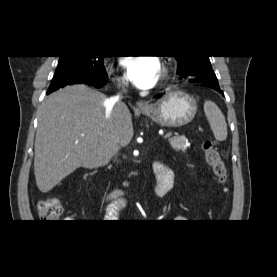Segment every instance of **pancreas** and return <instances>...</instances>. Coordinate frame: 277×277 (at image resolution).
<instances>
[{"label": "pancreas", "instance_id": "cf45deb5", "mask_svg": "<svg viewBox=\"0 0 277 277\" xmlns=\"http://www.w3.org/2000/svg\"><path fill=\"white\" fill-rule=\"evenodd\" d=\"M169 143L176 151L186 150L190 146L188 140L183 136H175L169 140Z\"/></svg>", "mask_w": 277, "mask_h": 277}]
</instances>
